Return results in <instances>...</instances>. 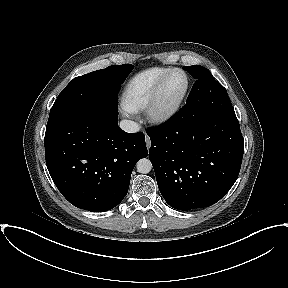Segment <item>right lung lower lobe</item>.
Returning a JSON list of instances; mask_svg holds the SVG:
<instances>
[{
	"label": "right lung lower lobe",
	"mask_w": 288,
	"mask_h": 288,
	"mask_svg": "<svg viewBox=\"0 0 288 288\" xmlns=\"http://www.w3.org/2000/svg\"><path fill=\"white\" fill-rule=\"evenodd\" d=\"M46 165L61 194L74 206L103 212L128 192L136 162L147 156L145 135L124 132L118 116L81 114L46 127Z\"/></svg>",
	"instance_id": "98d812e1"
}]
</instances>
